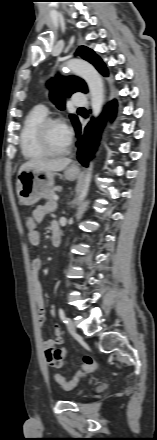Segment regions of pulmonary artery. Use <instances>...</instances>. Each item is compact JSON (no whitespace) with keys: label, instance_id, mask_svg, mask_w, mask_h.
Instances as JSON below:
<instances>
[{"label":"pulmonary artery","instance_id":"pulmonary-artery-1","mask_svg":"<svg viewBox=\"0 0 157 440\" xmlns=\"http://www.w3.org/2000/svg\"><path fill=\"white\" fill-rule=\"evenodd\" d=\"M72 103L77 106H85L87 104L85 95L80 92H76L72 96ZM40 108L44 113H47V108L45 106H40Z\"/></svg>","mask_w":157,"mask_h":440}]
</instances>
